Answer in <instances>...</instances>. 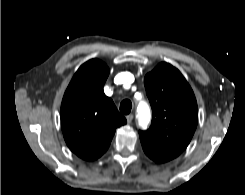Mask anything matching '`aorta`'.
Returning a JSON list of instances; mask_svg holds the SVG:
<instances>
[{
	"label": "aorta",
	"mask_w": 245,
	"mask_h": 195,
	"mask_svg": "<svg viewBox=\"0 0 245 195\" xmlns=\"http://www.w3.org/2000/svg\"><path fill=\"white\" fill-rule=\"evenodd\" d=\"M137 117L139 126L141 128H147L151 120L150 107L146 102H140L137 106Z\"/></svg>",
	"instance_id": "aorta-1"
}]
</instances>
